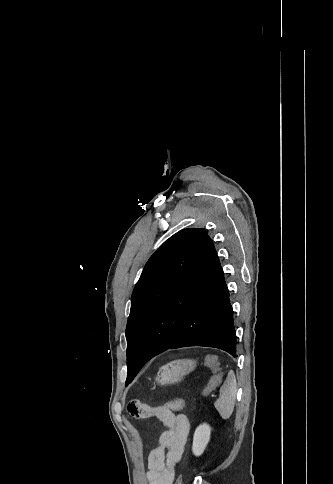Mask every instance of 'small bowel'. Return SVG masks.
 I'll use <instances>...</instances> for the list:
<instances>
[{"instance_id": "obj_1", "label": "small bowel", "mask_w": 333, "mask_h": 484, "mask_svg": "<svg viewBox=\"0 0 333 484\" xmlns=\"http://www.w3.org/2000/svg\"><path fill=\"white\" fill-rule=\"evenodd\" d=\"M128 410L137 418L156 417L167 428L159 437L158 447L149 454L146 478L148 484H172L190 432L189 418L138 400L132 401Z\"/></svg>"}]
</instances>
